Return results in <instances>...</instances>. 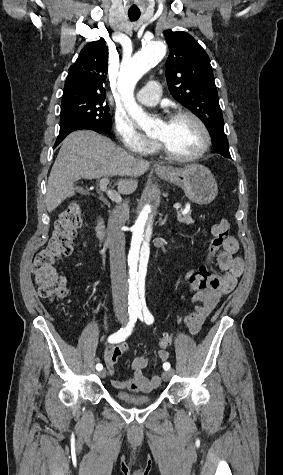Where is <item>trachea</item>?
Masks as SVG:
<instances>
[{
    "instance_id": "1",
    "label": "trachea",
    "mask_w": 283,
    "mask_h": 475,
    "mask_svg": "<svg viewBox=\"0 0 283 475\" xmlns=\"http://www.w3.org/2000/svg\"><path fill=\"white\" fill-rule=\"evenodd\" d=\"M128 16H129L131 21H136L140 17V12H130V13H128Z\"/></svg>"
}]
</instances>
